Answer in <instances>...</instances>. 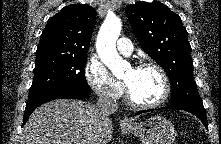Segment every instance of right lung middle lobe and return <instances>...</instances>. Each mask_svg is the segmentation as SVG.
<instances>
[{"instance_id":"obj_1","label":"right lung middle lobe","mask_w":221,"mask_h":144,"mask_svg":"<svg viewBox=\"0 0 221 144\" xmlns=\"http://www.w3.org/2000/svg\"><path fill=\"white\" fill-rule=\"evenodd\" d=\"M85 64L86 55H36L34 79L27 104H31L44 94L60 88L90 90L85 79Z\"/></svg>"}]
</instances>
